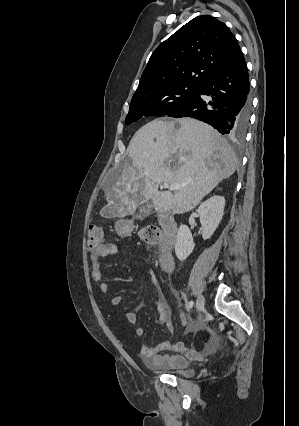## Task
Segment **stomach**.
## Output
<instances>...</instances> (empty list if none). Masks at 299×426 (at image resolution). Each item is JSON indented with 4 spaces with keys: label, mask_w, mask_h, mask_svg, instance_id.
<instances>
[{
    "label": "stomach",
    "mask_w": 299,
    "mask_h": 426,
    "mask_svg": "<svg viewBox=\"0 0 299 426\" xmlns=\"http://www.w3.org/2000/svg\"><path fill=\"white\" fill-rule=\"evenodd\" d=\"M116 226H117V229L119 231H122V229H123V223L122 222H117Z\"/></svg>",
    "instance_id": "1"
}]
</instances>
